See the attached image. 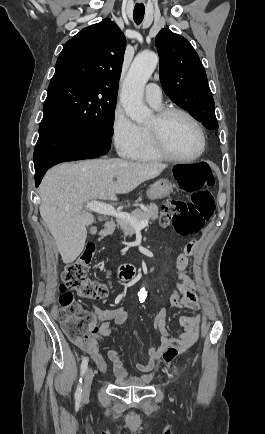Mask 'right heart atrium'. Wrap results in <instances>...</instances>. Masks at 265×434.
Listing matches in <instances>:
<instances>
[{
	"label": "right heart atrium",
	"instance_id": "right-heart-atrium-1",
	"mask_svg": "<svg viewBox=\"0 0 265 434\" xmlns=\"http://www.w3.org/2000/svg\"><path fill=\"white\" fill-rule=\"evenodd\" d=\"M116 115L111 116V132L113 134L112 147L118 148L119 157L128 159L136 151L134 141L139 140L140 127L137 121L130 118L125 106H116ZM135 130V132H133Z\"/></svg>",
	"mask_w": 265,
	"mask_h": 434
}]
</instances>
